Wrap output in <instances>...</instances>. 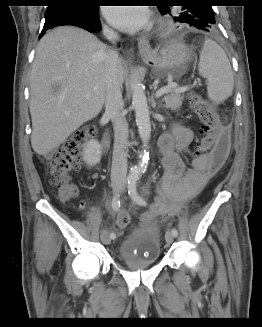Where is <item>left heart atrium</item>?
Instances as JSON below:
<instances>
[{
  "instance_id": "1",
  "label": "left heart atrium",
  "mask_w": 262,
  "mask_h": 327,
  "mask_svg": "<svg viewBox=\"0 0 262 327\" xmlns=\"http://www.w3.org/2000/svg\"><path fill=\"white\" fill-rule=\"evenodd\" d=\"M104 15L114 27L122 31H137L149 23L147 8L139 5H131L130 7L109 6L105 8Z\"/></svg>"
}]
</instances>
